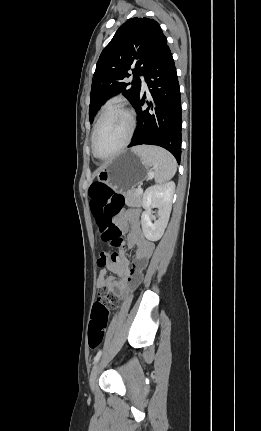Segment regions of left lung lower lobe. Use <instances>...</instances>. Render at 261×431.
Instances as JSON below:
<instances>
[{"mask_svg": "<svg viewBox=\"0 0 261 431\" xmlns=\"http://www.w3.org/2000/svg\"><path fill=\"white\" fill-rule=\"evenodd\" d=\"M145 81L152 97L145 101L139 95L134 108L137 112V128L128 147L148 144L170 151L177 162L181 158L182 110L180 89L171 51L166 45L146 71ZM148 108L144 109V103Z\"/></svg>", "mask_w": 261, "mask_h": 431, "instance_id": "1", "label": "left lung lower lobe"}]
</instances>
